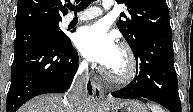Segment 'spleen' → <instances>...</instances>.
Masks as SVG:
<instances>
[{"label": "spleen", "instance_id": "3e777b00", "mask_svg": "<svg viewBox=\"0 0 193 112\" xmlns=\"http://www.w3.org/2000/svg\"><path fill=\"white\" fill-rule=\"evenodd\" d=\"M148 107L151 109L152 112H164L160 107L154 104H148Z\"/></svg>", "mask_w": 193, "mask_h": 112}]
</instances>
